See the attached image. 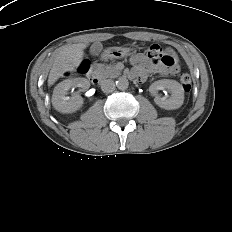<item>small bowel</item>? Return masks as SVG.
Masks as SVG:
<instances>
[{"instance_id": "c3829d8e", "label": "small bowel", "mask_w": 232, "mask_h": 232, "mask_svg": "<svg viewBox=\"0 0 232 232\" xmlns=\"http://www.w3.org/2000/svg\"><path fill=\"white\" fill-rule=\"evenodd\" d=\"M134 70L130 73L131 82L144 85L161 73L159 66L154 65L145 54H137L131 59Z\"/></svg>"}]
</instances>
